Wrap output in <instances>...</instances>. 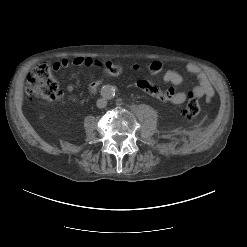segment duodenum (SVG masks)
Segmentation results:
<instances>
[{"instance_id": "duodenum-1", "label": "duodenum", "mask_w": 247, "mask_h": 247, "mask_svg": "<svg viewBox=\"0 0 247 247\" xmlns=\"http://www.w3.org/2000/svg\"><path fill=\"white\" fill-rule=\"evenodd\" d=\"M99 84H100V81L97 82V85H99Z\"/></svg>"}]
</instances>
